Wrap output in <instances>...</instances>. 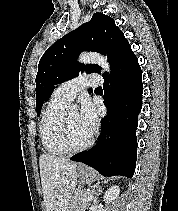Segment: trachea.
Returning a JSON list of instances; mask_svg holds the SVG:
<instances>
[{
    "mask_svg": "<svg viewBox=\"0 0 178 211\" xmlns=\"http://www.w3.org/2000/svg\"><path fill=\"white\" fill-rule=\"evenodd\" d=\"M100 89H102V88H101V87H98V88H97V90H100Z\"/></svg>",
    "mask_w": 178,
    "mask_h": 211,
    "instance_id": "trachea-1",
    "label": "trachea"
}]
</instances>
